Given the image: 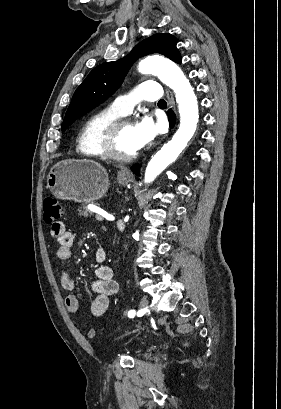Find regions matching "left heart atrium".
Returning a JSON list of instances; mask_svg holds the SVG:
<instances>
[{"label":"left heart atrium","instance_id":"left-heart-atrium-1","mask_svg":"<svg viewBox=\"0 0 281 409\" xmlns=\"http://www.w3.org/2000/svg\"><path fill=\"white\" fill-rule=\"evenodd\" d=\"M162 124H155L152 119L144 117L135 125V133L139 148L150 144L154 138L161 132Z\"/></svg>","mask_w":281,"mask_h":409}]
</instances>
